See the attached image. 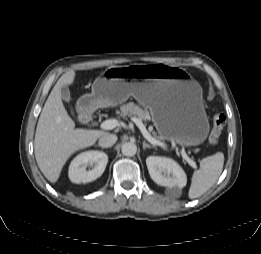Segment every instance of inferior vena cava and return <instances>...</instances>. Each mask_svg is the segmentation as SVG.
<instances>
[{"label":"inferior vena cava","instance_id":"inferior-vena-cava-1","mask_svg":"<svg viewBox=\"0 0 261 254\" xmlns=\"http://www.w3.org/2000/svg\"><path fill=\"white\" fill-rule=\"evenodd\" d=\"M117 139L115 134H105L99 139V146L103 148L111 147L116 143Z\"/></svg>","mask_w":261,"mask_h":254}]
</instances>
